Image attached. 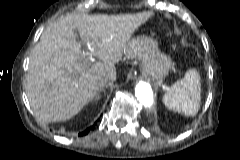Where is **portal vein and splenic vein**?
<instances>
[{"mask_svg": "<svg viewBox=\"0 0 240 160\" xmlns=\"http://www.w3.org/2000/svg\"><path fill=\"white\" fill-rule=\"evenodd\" d=\"M91 61H94V59H93V58H91Z\"/></svg>", "mask_w": 240, "mask_h": 160, "instance_id": "portal-vein-and-splenic-vein-1", "label": "portal vein and splenic vein"}]
</instances>
